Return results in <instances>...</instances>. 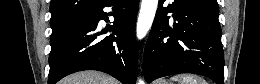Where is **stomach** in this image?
I'll return each mask as SVG.
<instances>
[{"label":"stomach","instance_id":"obj_1","mask_svg":"<svg viewBox=\"0 0 260 84\" xmlns=\"http://www.w3.org/2000/svg\"><path fill=\"white\" fill-rule=\"evenodd\" d=\"M158 84H170V83H168L166 80H160L158 81Z\"/></svg>","mask_w":260,"mask_h":84}]
</instances>
